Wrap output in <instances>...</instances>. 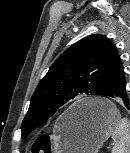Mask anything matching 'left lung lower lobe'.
I'll list each match as a JSON object with an SVG mask.
<instances>
[{"label":"left lung lower lobe","instance_id":"left-lung-lower-lobe-1","mask_svg":"<svg viewBox=\"0 0 130 153\" xmlns=\"http://www.w3.org/2000/svg\"><path fill=\"white\" fill-rule=\"evenodd\" d=\"M100 95L121 99L125 106L129 107V99L126 94L124 69L119 56L106 78ZM84 111L85 108H82L78 112L82 113Z\"/></svg>","mask_w":130,"mask_h":153}]
</instances>
